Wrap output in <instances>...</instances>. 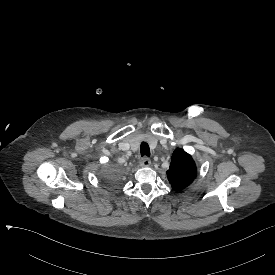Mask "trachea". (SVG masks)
I'll use <instances>...</instances> for the list:
<instances>
[{
    "label": "trachea",
    "mask_w": 275,
    "mask_h": 275,
    "mask_svg": "<svg viewBox=\"0 0 275 275\" xmlns=\"http://www.w3.org/2000/svg\"><path fill=\"white\" fill-rule=\"evenodd\" d=\"M140 152H141V155H146V156H150V149H149V145L147 142L145 141H142L141 144H140ZM144 156V157H146Z\"/></svg>",
    "instance_id": "3493384b"
}]
</instances>
